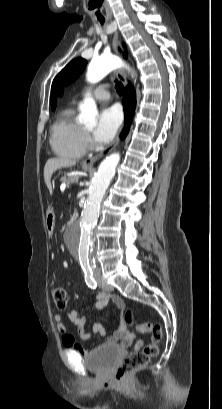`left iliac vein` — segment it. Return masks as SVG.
<instances>
[{
  "instance_id": "left-iliac-vein-1",
  "label": "left iliac vein",
  "mask_w": 222,
  "mask_h": 409,
  "mask_svg": "<svg viewBox=\"0 0 222 409\" xmlns=\"http://www.w3.org/2000/svg\"><path fill=\"white\" fill-rule=\"evenodd\" d=\"M96 280L98 284L100 285L101 289L105 292H111L113 291V286L108 284L105 279H103L101 276H97Z\"/></svg>"
}]
</instances>
